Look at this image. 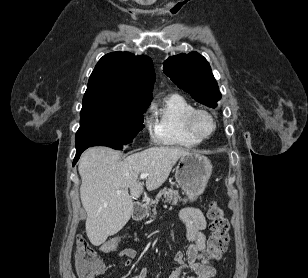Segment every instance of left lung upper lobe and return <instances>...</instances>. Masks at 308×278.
Returning <instances> with one entry per match:
<instances>
[{"mask_svg": "<svg viewBox=\"0 0 308 278\" xmlns=\"http://www.w3.org/2000/svg\"><path fill=\"white\" fill-rule=\"evenodd\" d=\"M164 72L199 103L215 108L221 99L209 63L197 52L169 57L164 63Z\"/></svg>", "mask_w": 308, "mask_h": 278, "instance_id": "1", "label": "left lung upper lobe"}]
</instances>
